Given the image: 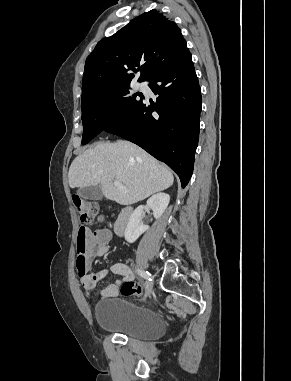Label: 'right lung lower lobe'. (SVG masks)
<instances>
[{
  "label": "right lung lower lobe",
  "instance_id": "obj_1",
  "mask_svg": "<svg viewBox=\"0 0 291 381\" xmlns=\"http://www.w3.org/2000/svg\"><path fill=\"white\" fill-rule=\"evenodd\" d=\"M148 81L159 95L156 103L143 101L132 115L105 131L139 145L166 163L178 174L184 188L193 172L202 106L189 49L186 47Z\"/></svg>",
  "mask_w": 291,
  "mask_h": 381
}]
</instances>
